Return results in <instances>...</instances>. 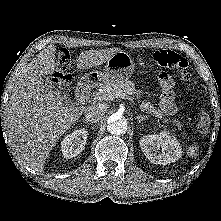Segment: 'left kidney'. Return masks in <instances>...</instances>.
I'll list each match as a JSON object with an SVG mask.
<instances>
[{
  "label": "left kidney",
  "mask_w": 221,
  "mask_h": 221,
  "mask_svg": "<svg viewBox=\"0 0 221 221\" xmlns=\"http://www.w3.org/2000/svg\"><path fill=\"white\" fill-rule=\"evenodd\" d=\"M139 144L146 158L154 164L167 165L176 162L182 154L178 140L166 131L159 135H147L139 141Z\"/></svg>",
  "instance_id": "1"
}]
</instances>
